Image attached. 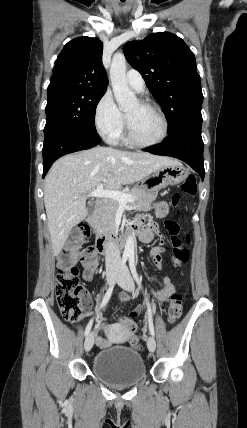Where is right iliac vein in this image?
Listing matches in <instances>:
<instances>
[{"label":"right iliac vein","mask_w":247,"mask_h":428,"mask_svg":"<svg viewBox=\"0 0 247 428\" xmlns=\"http://www.w3.org/2000/svg\"><path fill=\"white\" fill-rule=\"evenodd\" d=\"M117 272L115 270H112L107 275V281L109 285H112L114 283V280L116 279ZM94 344V334L93 332L89 333L85 339L84 342V349L85 351H90Z\"/></svg>","instance_id":"1"}]
</instances>
